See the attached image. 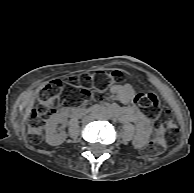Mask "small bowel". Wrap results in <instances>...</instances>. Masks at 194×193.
<instances>
[{
    "instance_id": "small-bowel-1",
    "label": "small bowel",
    "mask_w": 194,
    "mask_h": 193,
    "mask_svg": "<svg viewBox=\"0 0 194 193\" xmlns=\"http://www.w3.org/2000/svg\"><path fill=\"white\" fill-rule=\"evenodd\" d=\"M111 92L125 105L119 110L120 119L135 124V142L139 146L144 145L151 132V122L138 108L134 89L129 84L115 83Z\"/></svg>"
}]
</instances>
